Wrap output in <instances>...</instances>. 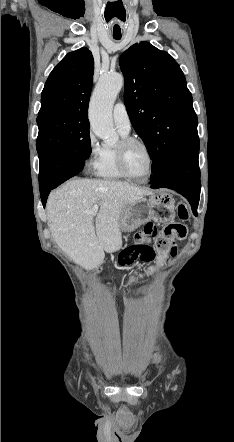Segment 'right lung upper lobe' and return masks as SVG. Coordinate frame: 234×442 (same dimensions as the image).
<instances>
[{
  "label": "right lung upper lobe",
  "mask_w": 234,
  "mask_h": 442,
  "mask_svg": "<svg viewBox=\"0 0 234 442\" xmlns=\"http://www.w3.org/2000/svg\"><path fill=\"white\" fill-rule=\"evenodd\" d=\"M94 60L83 47L68 53L50 73L41 94L38 117L52 114L88 115Z\"/></svg>",
  "instance_id": "right-lung-upper-lobe-1"
}]
</instances>
